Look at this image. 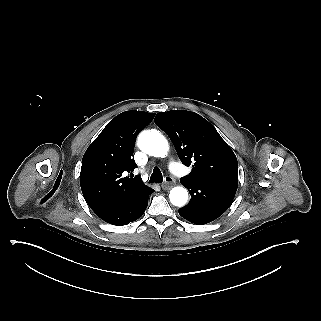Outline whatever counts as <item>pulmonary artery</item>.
I'll use <instances>...</instances> for the list:
<instances>
[{
  "instance_id": "e3ab8cb5",
  "label": "pulmonary artery",
  "mask_w": 321,
  "mask_h": 321,
  "mask_svg": "<svg viewBox=\"0 0 321 321\" xmlns=\"http://www.w3.org/2000/svg\"><path fill=\"white\" fill-rule=\"evenodd\" d=\"M167 165L169 166L170 170L175 172L176 176L180 179L186 177L187 172L184 168L180 167L179 163L177 162L176 158L170 156L166 160Z\"/></svg>"
}]
</instances>
